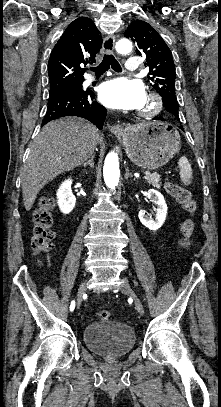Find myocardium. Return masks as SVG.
<instances>
[{
	"instance_id": "1",
	"label": "myocardium",
	"mask_w": 221,
	"mask_h": 407,
	"mask_svg": "<svg viewBox=\"0 0 221 407\" xmlns=\"http://www.w3.org/2000/svg\"><path fill=\"white\" fill-rule=\"evenodd\" d=\"M146 103V106L139 111V115L142 117H151L158 114L163 106L161 97L154 91L146 93Z\"/></svg>"
}]
</instances>
